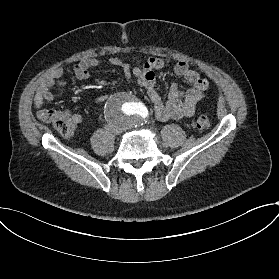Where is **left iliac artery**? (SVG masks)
Wrapping results in <instances>:
<instances>
[{
	"mask_svg": "<svg viewBox=\"0 0 279 279\" xmlns=\"http://www.w3.org/2000/svg\"><path fill=\"white\" fill-rule=\"evenodd\" d=\"M140 114L142 117H146L148 115V110L146 107L140 109Z\"/></svg>",
	"mask_w": 279,
	"mask_h": 279,
	"instance_id": "left-iliac-artery-1",
	"label": "left iliac artery"
}]
</instances>
